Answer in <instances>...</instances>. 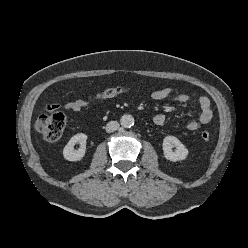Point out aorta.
Returning <instances> with one entry per match:
<instances>
[{
  "label": "aorta",
  "mask_w": 248,
  "mask_h": 248,
  "mask_svg": "<svg viewBox=\"0 0 248 248\" xmlns=\"http://www.w3.org/2000/svg\"><path fill=\"white\" fill-rule=\"evenodd\" d=\"M120 124L123 128H131L134 125V117L130 114H125L121 117Z\"/></svg>",
  "instance_id": "1"
}]
</instances>
